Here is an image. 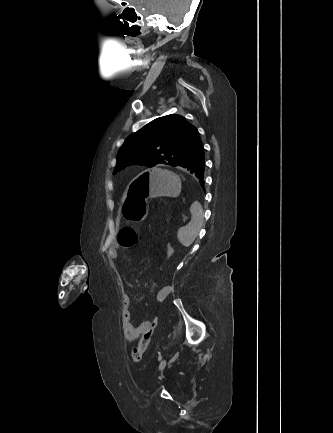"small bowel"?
Returning a JSON list of instances; mask_svg holds the SVG:
<instances>
[{"label": "small bowel", "instance_id": "c3829d8e", "mask_svg": "<svg viewBox=\"0 0 333 433\" xmlns=\"http://www.w3.org/2000/svg\"><path fill=\"white\" fill-rule=\"evenodd\" d=\"M108 256L111 260L116 261L118 259V251L115 245L111 246L108 251ZM171 292L170 286L161 287L156 294V301L161 303L169 296ZM132 299L128 294L122 296V328L124 337L128 342H134L141 337L147 331H150L151 321H145L139 325L132 323L131 314Z\"/></svg>", "mask_w": 333, "mask_h": 433}]
</instances>
